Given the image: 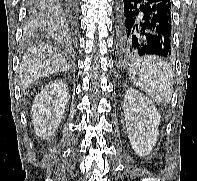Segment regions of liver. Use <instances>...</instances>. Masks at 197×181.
<instances>
[{"instance_id": "obj_1", "label": "liver", "mask_w": 197, "mask_h": 181, "mask_svg": "<svg viewBox=\"0 0 197 181\" xmlns=\"http://www.w3.org/2000/svg\"><path fill=\"white\" fill-rule=\"evenodd\" d=\"M69 69L65 58L56 48L39 45L23 56L19 66V80L22 89L28 88L41 77Z\"/></svg>"}]
</instances>
